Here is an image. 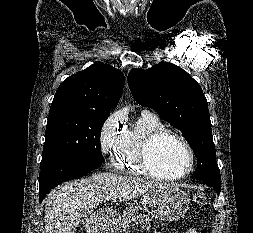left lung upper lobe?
Masks as SVG:
<instances>
[{"instance_id":"1","label":"left lung upper lobe","mask_w":253,"mask_h":233,"mask_svg":"<svg viewBox=\"0 0 253 233\" xmlns=\"http://www.w3.org/2000/svg\"><path fill=\"white\" fill-rule=\"evenodd\" d=\"M128 85L140 105L154 109L188 141L197 157L192 178L221 183L208 104L196 80L180 67L160 62L147 70L132 69Z\"/></svg>"}]
</instances>
